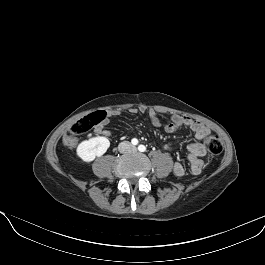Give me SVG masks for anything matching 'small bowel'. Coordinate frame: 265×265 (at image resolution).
I'll use <instances>...</instances> for the list:
<instances>
[{"instance_id": "obj_1", "label": "small bowel", "mask_w": 265, "mask_h": 265, "mask_svg": "<svg viewBox=\"0 0 265 265\" xmlns=\"http://www.w3.org/2000/svg\"><path fill=\"white\" fill-rule=\"evenodd\" d=\"M145 112L146 108L141 106L139 109L133 108L130 110L131 113ZM118 110H110L106 113L105 118L95 127V133L102 137H110L111 133L106 128L109 123V118L119 115ZM149 117L155 126H164L167 132H175L182 127L190 129L194 133L196 141L188 146V162L189 170L192 174L197 175L201 173L205 166L206 149L201 143L210 134V129L205 126L202 122L194 120L185 115H174L167 122L162 123L157 117V113L154 110L148 111ZM174 174L181 177L185 174V167L180 162H175L173 166Z\"/></svg>"}]
</instances>
